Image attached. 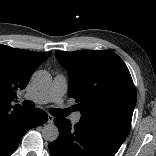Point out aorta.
<instances>
[{"mask_svg":"<svg viewBox=\"0 0 156 156\" xmlns=\"http://www.w3.org/2000/svg\"><path fill=\"white\" fill-rule=\"evenodd\" d=\"M32 81L38 89L45 90L51 86L52 78L49 72L45 70H39L33 73ZM58 136H59V130L55 126V124L50 123V124H46L43 127L42 137L44 138V140L49 142H54L55 140H57Z\"/></svg>","mask_w":156,"mask_h":156,"instance_id":"1","label":"aorta"}]
</instances>
